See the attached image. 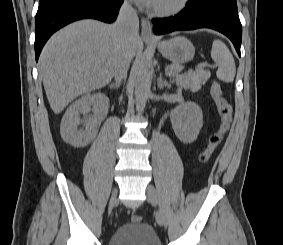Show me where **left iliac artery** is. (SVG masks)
<instances>
[{
	"mask_svg": "<svg viewBox=\"0 0 283 245\" xmlns=\"http://www.w3.org/2000/svg\"><path fill=\"white\" fill-rule=\"evenodd\" d=\"M158 218H159V212L157 213V218H156V219H157V222H158Z\"/></svg>",
	"mask_w": 283,
	"mask_h": 245,
	"instance_id": "1",
	"label": "left iliac artery"
}]
</instances>
